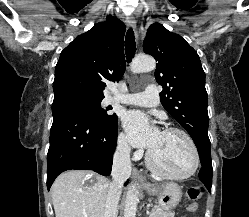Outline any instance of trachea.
Wrapping results in <instances>:
<instances>
[{
	"instance_id": "trachea-1",
	"label": "trachea",
	"mask_w": 249,
	"mask_h": 217,
	"mask_svg": "<svg viewBox=\"0 0 249 217\" xmlns=\"http://www.w3.org/2000/svg\"><path fill=\"white\" fill-rule=\"evenodd\" d=\"M125 51H126L127 62H130L136 51L135 36L131 28L126 33Z\"/></svg>"
}]
</instances>
